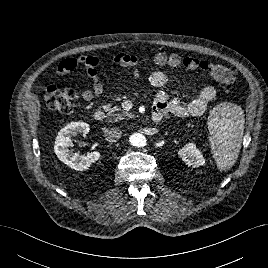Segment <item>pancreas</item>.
Instances as JSON below:
<instances>
[{"mask_svg": "<svg viewBox=\"0 0 268 268\" xmlns=\"http://www.w3.org/2000/svg\"><path fill=\"white\" fill-rule=\"evenodd\" d=\"M104 111L109 117H115L116 120H122L126 117H132V114L127 111H121V108L118 106L112 107L111 104H107L103 107Z\"/></svg>", "mask_w": 268, "mask_h": 268, "instance_id": "cf45deb5", "label": "pancreas"}]
</instances>
